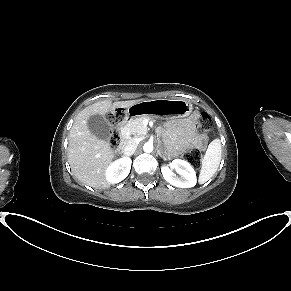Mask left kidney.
Listing matches in <instances>:
<instances>
[{
    "instance_id": "left-kidney-1",
    "label": "left kidney",
    "mask_w": 291,
    "mask_h": 291,
    "mask_svg": "<svg viewBox=\"0 0 291 291\" xmlns=\"http://www.w3.org/2000/svg\"><path fill=\"white\" fill-rule=\"evenodd\" d=\"M171 168L175 169L179 177L168 166L161 167L164 179L171 185L179 188L194 187L197 183L194 168L185 160L175 159L171 163Z\"/></svg>"
}]
</instances>
